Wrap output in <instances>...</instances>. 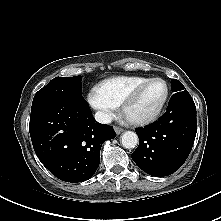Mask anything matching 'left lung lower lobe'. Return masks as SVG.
<instances>
[{
	"instance_id": "1",
	"label": "left lung lower lobe",
	"mask_w": 221,
	"mask_h": 221,
	"mask_svg": "<svg viewBox=\"0 0 221 221\" xmlns=\"http://www.w3.org/2000/svg\"><path fill=\"white\" fill-rule=\"evenodd\" d=\"M197 131L196 106L190 95L169 101L154 124L137 129L139 145L132 159L151 176H168L187 159Z\"/></svg>"
}]
</instances>
